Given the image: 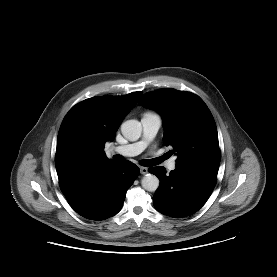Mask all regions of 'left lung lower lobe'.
<instances>
[{"instance_id":"obj_1","label":"left lung lower lobe","mask_w":277,"mask_h":277,"mask_svg":"<svg viewBox=\"0 0 277 277\" xmlns=\"http://www.w3.org/2000/svg\"><path fill=\"white\" fill-rule=\"evenodd\" d=\"M218 169L209 165L176 167L169 175L162 166L149 169L161 183L153 196L155 208L174 218L194 214L210 197Z\"/></svg>"}]
</instances>
